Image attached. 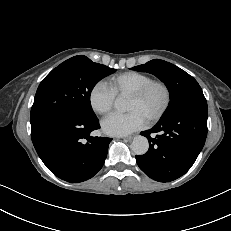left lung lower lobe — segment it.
Instances as JSON below:
<instances>
[{
    "label": "left lung lower lobe",
    "mask_w": 231,
    "mask_h": 231,
    "mask_svg": "<svg viewBox=\"0 0 231 231\" xmlns=\"http://www.w3.org/2000/svg\"><path fill=\"white\" fill-rule=\"evenodd\" d=\"M206 99L190 101L141 132L149 140V150L136 155L139 168L150 178L170 182L184 175L194 164L207 136ZM151 133H157L152 138Z\"/></svg>",
    "instance_id": "left-lung-lower-lobe-1"
}]
</instances>
